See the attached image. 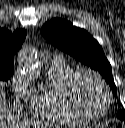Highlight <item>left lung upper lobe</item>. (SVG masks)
<instances>
[{"label": "left lung upper lobe", "instance_id": "left-lung-upper-lobe-1", "mask_svg": "<svg viewBox=\"0 0 125 128\" xmlns=\"http://www.w3.org/2000/svg\"><path fill=\"white\" fill-rule=\"evenodd\" d=\"M41 34L55 47L99 71L115 93L111 65L102 47L86 30L73 26L67 20L55 18L42 26ZM117 117L125 122V110H120Z\"/></svg>", "mask_w": 125, "mask_h": 128}]
</instances>
